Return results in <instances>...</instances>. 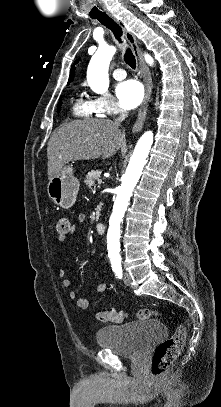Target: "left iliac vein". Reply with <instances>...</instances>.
<instances>
[{"mask_svg": "<svg viewBox=\"0 0 221 407\" xmlns=\"http://www.w3.org/2000/svg\"><path fill=\"white\" fill-rule=\"evenodd\" d=\"M123 282H124V284L125 285H130V283H131V276H130V274L128 273V272H125L124 274H123Z\"/></svg>", "mask_w": 221, "mask_h": 407, "instance_id": "obj_1", "label": "left iliac vein"}]
</instances>
